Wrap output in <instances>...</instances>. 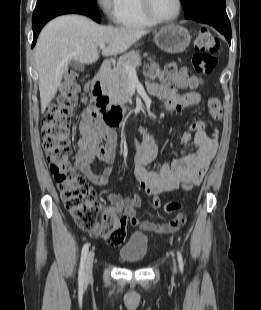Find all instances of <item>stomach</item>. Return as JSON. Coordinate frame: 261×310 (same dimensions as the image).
I'll list each match as a JSON object with an SVG mask.
<instances>
[{"label":"stomach","instance_id":"stomach-1","mask_svg":"<svg viewBox=\"0 0 261 310\" xmlns=\"http://www.w3.org/2000/svg\"><path fill=\"white\" fill-rule=\"evenodd\" d=\"M189 31L178 25H167L155 33L156 45L168 53H181L190 44Z\"/></svg>","mask_w":261,"mask_h":310}]
</instances>
